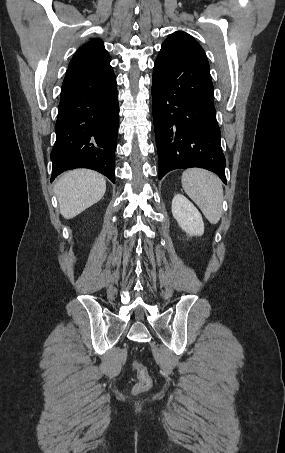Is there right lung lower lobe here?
I'll return each mask as SVG.
<instances>
[{"mask_svg": "<svg viewBox=\"0 0 285 453\" xmlns=\"http://www.w3.org/2000/svg\"><path fill=\"white\" fill-rule=\"evenodd\" d=\"M118 115L116 77L111 66L69 67L58 106L51 181L65 170L89 168L114 183Z\"/></svg>", "mask_w": 285, "mask_h": 453, "instance_id": "right-lung-lower-lobe-1", "label": "right lung lower lobe"}]
</instances>
